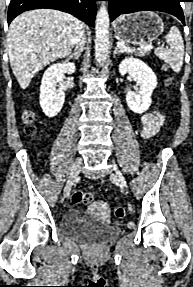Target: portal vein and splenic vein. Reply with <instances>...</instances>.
Segmentation results:
<instances>
[{
	"label": "portal vein and splenic vein",
	"mask_w": 193,
	"mask_h": 287,
	"mask_svg": "<svg viewBox=\"0 0 193 287\" xmlns=\"http://www.w3.org/2000/svg\"><path fill=\"white\" fill-rule=\"evenodd\" d=\"M116 45L119 47V48H121V49H123V50H128V51H131V49H128L127 47H126V45L124 44V43H122V42H117L116 43ZM161 47H164V45H161ZM149 49V48H152V46H146V47H141L140 49Z\"/></svg>",
	"instance_id": "18ae733b"
}]
</instances>
